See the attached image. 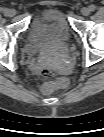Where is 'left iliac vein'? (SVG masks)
Wrapping results in <instances>:
<instances>
[{
    "instance_id": "1",
    "label": "left iliac vein",
    "mask_w": 104,
    "mask_h": 137,
    "mask_svg": "<svg viewBox=\"0 0 104 137\" xmlns=\"http://www.w3.org/2000/svg\"><path fill=\"white\" fill-rule=\"evenodd\" d=\"M90 13H91V10H90V8H88V7H83V8L81 9V14H82L83 16H88Z\"/></svg>"
}]
</instances>
